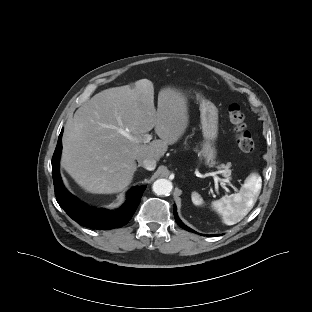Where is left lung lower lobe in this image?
I'll use <instances>...</instances> for the list:
<instances>
[{
    "instance_id": "1",
    "label": "left lung lower lobe",
    "mask_w": 312,
    "mask_h": 312,
    "mask_svg": "<svg viewBox=\"0 0 312 312\" xmlns=\"http://www.w3.org/2000/svg\"><path fill=\"white\" fill-rule=\"evenodd\" d=\"M174 216H175V220H176L177 224H178L181 228H183V229H185V230H188V231H190V232H194L192 229H190L189 227H187L186 225H184V224L182 223V221L179 219V217H178V215H177V212H176V207H175V205H174ZM207 236H208V235H207ZM210 236H212V235H210ZM214 236H217V235H214Z\"/></svg>"
}]
</instances>
